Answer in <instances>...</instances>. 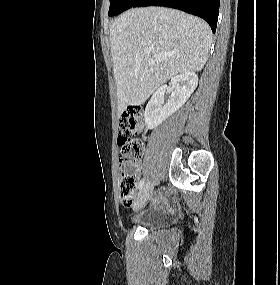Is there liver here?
Instances as JSON below:
<instances>
[{
	"instance_id": "6515ba94",
	"label": "liver",
	"mask_w": 280,
	"mask_h": 285,
	"mask_svg": "<svg viewBox=\"0 0 280 285\" xmlns=\"http://www.w3.org/2000/svg\"><path fill=\"white\" fill-rule=\"evenodd\" d=\"M211 43L209 25L184 12L148 7L123 13L110 28L119 115L129 105L143 104L170 78L201 71ZM165 54L170 56L156 60Z\"/></svg>"
}]
</instances>
